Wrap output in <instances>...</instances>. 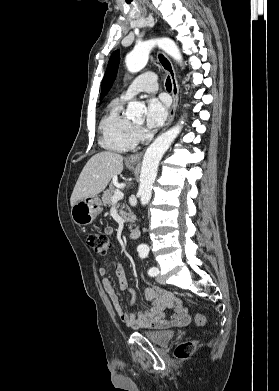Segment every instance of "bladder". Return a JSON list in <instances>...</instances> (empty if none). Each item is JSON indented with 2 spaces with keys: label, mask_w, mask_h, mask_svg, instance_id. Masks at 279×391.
<instances>
[{
  "label": "bladder",
  "mask_w": 279,
  "mask_h": 391,
  "mask_svg": "<svg viewBox=\"0 0 279 391\" xmlns=\"http://www.w3.org/2000/svg\"><path fill=\"white\" fill-rule=\"evenodd\" d=\"M144 336L156 345L165 346L175 338L176 332L172 330L149 331L144 332Z\"/></svg>",
  "instance_id": "1"
}]
</instances>
